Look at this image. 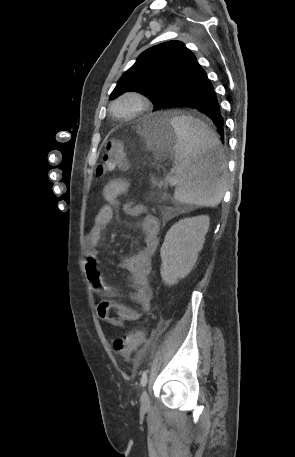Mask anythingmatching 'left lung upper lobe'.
I'll return each mask as SVG.
<instances>
[{
	"label": "left lung upper lobe",
	"mask_w": 295,
	"mask_h": 457,
	"mask_svg": "<svg viewBox=\"0 0 295 457\" xmlns=\"http://www.w3.org/2000/svg\"><path fill=\"white\" fill-rule=\"evenodd\" d=\"M196 56L180 41H168L142 52L117 82L110 98L137 91L161 109L162 104L189 86L188 74Z\"/></svg>",
	"instance_id": "obj_1"
}]
</instances>
